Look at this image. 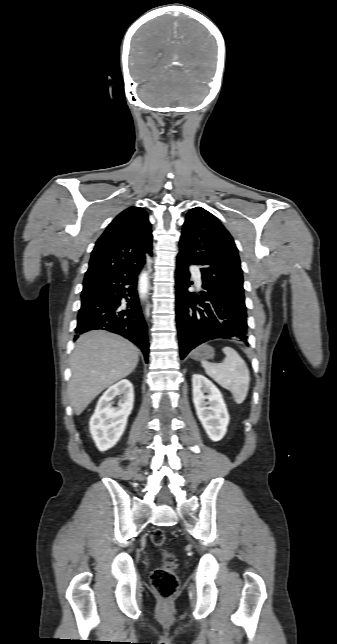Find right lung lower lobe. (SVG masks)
<instances>
[{
  "mask_svg": "<svg viewBox=\"0 0 337 644\" xmlns=\"http://www.w3.org/2000/svg\"><path fill=\"white\" fill-rule=\"evenodd\" d=\"M144 263L112 271L83 291L75 331L82 334L102 329L117 333L138 346L147 362V325L136 290L137 275Z\"/></svg>",
  "mask_w": 337,
  "mask_h": 644,
  "instance_id": "1",
  "label": "right lung lower lobe"
}]
</instances>
